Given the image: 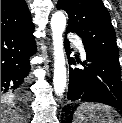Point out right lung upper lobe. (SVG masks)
I'll use <instances>...</instances> for the list:
<instances>
[{"instance_id":"obj_1","label":"right lung upper lobe","mask_w":122,"mask_h":123,"mask_svg":"<svg viewBox=\"0 0 122 123\" xmlns=\"http://www.w3.org/2000/svg\"><path fill=\"white\" fill-rule=\"evenodd\" d=\"M27 32L34 30L25 0H1V31Z\"/></svg>"}]
</instances>
